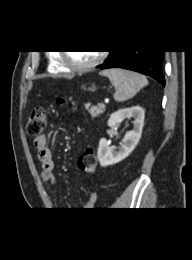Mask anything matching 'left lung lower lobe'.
I'll return each instance as SVG.
<instances>
[{
  "label": "left lung lower lobe",
  "instance_id": "0a47b994",
  "mask_svg": "<svg viewBox=\"0 0 192 260\" xmlns=\"http://www.w3.org/2000/svg\"><path fill=\"white\" fill-rule=\"evenodd\" d=\"M163 58L164 53L162 50L113 51L105 62L97 66V68H124L133 70L148 75L165 86V77L162 73Z\"/></svg>",
  "mask_w": 192,
  "mask_h": 260
}]
</instances>
